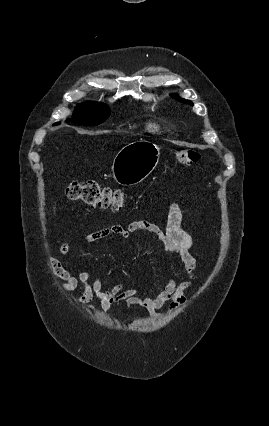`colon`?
<instances>
[{
	"mask_svg": "<svg viewBox=\"0 0 269 426\" xmlns=\"http://www.w3.org/2000/svg\"><path fill=\"white\" fill-rule=\"evenodd\" d=\"M175 154L182 165L195 164L200 158L199 153L191 149H179ZM66 196L72 201L103 209H119L124 201L121 189L103 186L96 181H72L66 188Z\"/></svg>",
	"mask_w": 269,
	"mask_h": 426,
	"instance_id": "colon-1",
	"label": "colon"
}]
</instances>
